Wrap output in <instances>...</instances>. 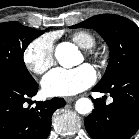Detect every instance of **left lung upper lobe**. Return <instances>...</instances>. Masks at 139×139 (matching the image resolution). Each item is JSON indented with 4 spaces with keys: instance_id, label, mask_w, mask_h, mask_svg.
Instances as JSON below:
<instances>
[{
    "instance_id": "left-lung-upper-lobe-1",
    "label": "left lung upper lobe",
    "mask_w": 139,
    "mask_h": 139,
    "mask_svg": "<svg viewBox=\"0 0 139 139\" xmlns=\"http://www.w3.org/2000/svg\"><path fill=\"white\" fill-rule=\"evenodd\" d=\"M91 28L106 41L110 50L107 70L98 85H108L128 67L139 64V28L129 19L101 14L70 28Z\"/></svg>"
}]
</instances>
